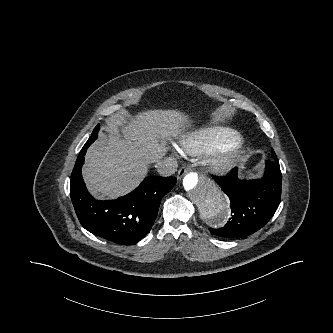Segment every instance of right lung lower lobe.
<instances>
[{
	"instance_id": "98d812e1",
	"label": "right lung lower lobe",
	"mask_w": 333,
	"mask_h": 333,
	"mask_svg": "<svg viewBox=\"0 0 333 333\" xmlns=\"http://www.w3.org/2000/svg\"><path fill=\"white\" fill-rule=\"evenodd\" d=\"M97 138L91 135L76 160L70 196L81 225L92 234L122 244H134L151 230L162 197L176 184L175 177L151 176L131 193L116 200L98 201L87 191L81 174L87 148Z\"/></svg>"
}]
</instances>
